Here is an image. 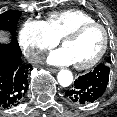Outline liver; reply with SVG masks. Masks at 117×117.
I'll use <instances>...</instances> for the list:
<instances>
[{
  "mask_svg": "<svg viewBox=\"0 0 117 117\" xmlns=\"http://www.w3.org/2000/svg\"><path fill=\"white\" fill-rule=\"evenodd\" d=\"M8 35L4 32L0 33V40L4 41V42H8Z\"/></svg>",
  "mask_w": 117,
  "mask_h": 117,
  "instance_id": "1",
  "label": "liver"
}]
</instances>
